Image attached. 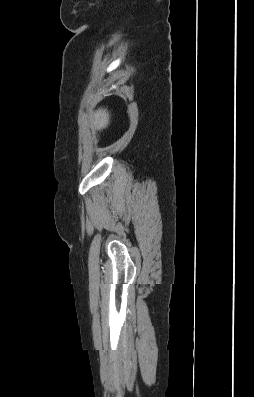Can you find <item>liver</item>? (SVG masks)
I'll return each mask as SVG.
<instances>
[{
  "mask_svg": "<svg viewBox=\"0 0 254 397\" xmlns=\"http://www.w3.org/2000/svg\"><path fill=\"white\" fill-rule=\"evenodd\" d=\"M110 116L107 109L99 108L93 116L92 127L97 130L106 128L109 124Z\"/></svg>",
  "mask_w": 254,
  "mask_h": 397,
  "instance_id": "obj_1",
  "label": "liver"
}]
</instances>
